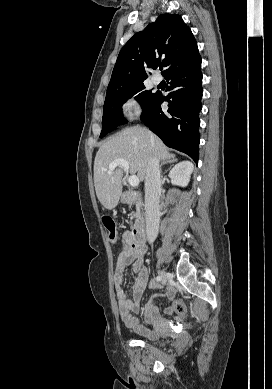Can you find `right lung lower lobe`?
Returning a JSON list of instances; mask_svg holds the SVG:
<instances>
[{"instance_id": "1", "label": "right lung lower lobe", "mask_w": 272, "mask_h": 389, "mask_svg": "<svg viewBox=\"0 0 272 389\" xmlns=\"http://www.w3.org/2000/svg\"><path fill=\"white\" fill-rule=\"evenodd\" d=\"M171 91L158 93L156 100L141 115V120L171 148L188 154L197 164L199 156V112L202 109L201 56L172 70L167 76ZM168 101V110L161 104Z\"/></svg>"}]
</instances>
